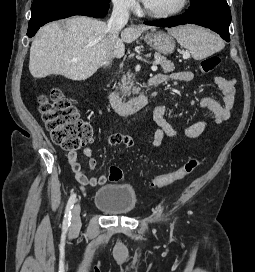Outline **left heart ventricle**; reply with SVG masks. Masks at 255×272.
<instances>
[{
    "mask_svg": "<svg viewBox=\"0 0 255 272\" xmlns=\"http://www.w3.org/2000/svg\"><path fill=\"white\" fill-rule=\"evenodd\" d=\"M181 0H148L146 7L152 12H164L176 8Z\"/></svg>",
    "mask_w": 255,
    "mask_h": 272,
    "instance_id": "left-heart-ventricle-1",
    "label": "left heart ventricle"
}]
</instances>
